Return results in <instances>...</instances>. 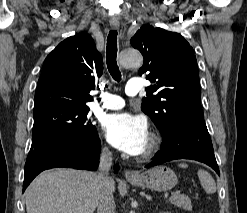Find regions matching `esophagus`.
Here are the masks:
<instances>
[{
  "label": "esophagus",
  "mask_w": 247,
  "mask_h": 213,
  "mask_svg": "<svg viewBox=\"0 0 247 213\" xmlns=\"http://www.w3.org/2000/svg\"><path fill=\"white\" fill-rule=\"evenodd\" d=\"M110 26L113 28V29H118L119 28V22H110ZM125 177L127 179H131V178H136L138 177V174L134 171H131V170H125V173H124Z\"/></svg>",
  "instance_id": "1"
}]
</instances>
